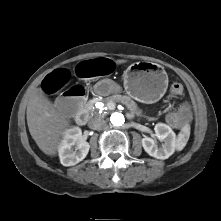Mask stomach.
<instances>
[{
	"label": "stomach",
	"mask_w": 221,
	"mask_h": 221,
	"mask_svg": "<svg viewBox=\"0 0 221 221\" xmlns=\"http://www.w3.org/2000/svg\"><path fill=\"white\" fill-rule=\"evenodd\" d=\"M125 92L142 103H155L168 87V76L162 66L153 62H136L123 73Z\"/></svg>",
	"instance_id": "1"
}]
</instances>
